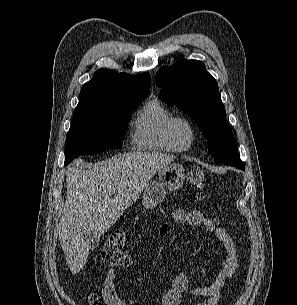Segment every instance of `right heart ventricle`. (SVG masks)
Masks as SVG:
<instances>
[{"label": "right heart ventricle", "instance_id": "1", "mask_svg": "<svg viewBox=\"0 0 297 305\" xmlns=\"http://www.w3.org/2000/svg\"><path fill=\"white\" fill-rule=\"evenodd\" d=\"M174 113L161 101H147L136 115L133 132V147L141 151L177 152L171 142L167 127Z\"/></svg>", "mask_w": 297, "mask_h": 305}]
</instances>
